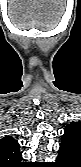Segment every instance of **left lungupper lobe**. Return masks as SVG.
<instances>
[{"mask_svg":"<svg viewBox=\"0 0 81 167\" xmlns=\"http://www.w3.org/2000/svg\"><path fill=\"white\" fill-rule=\"evenodd\" d=\"M61 149H64L68 156L80 164L81 161V123L72 122L65 126L62 136Z\"/></svg>","mask_w":81,"mask_h":167,"instance_id":"left-lung-upper-lobe-1","label":"left lung upper lobe"}]
</instances>
